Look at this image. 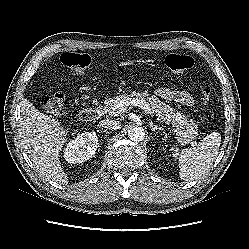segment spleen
Segmentation results:
<instances>
[{
    "label": "spleen",
    "mask_w": 249,
    "mask_h": 249,
    "mask_svg": "<svg viewBox=\"0 0 249 249\" xmlns=\"http://www.w3.org/2000/svg\"><path fill=\"white\" fill-rule=\"evenodd\" d=\"M221 144V135L213 132L204 137L195 148H171L174 158H178L180 178L185 181L195 180L204 175L216 159Z\"/></svg>",
    "instance_id": "spleen-1"
}]
</instances>
